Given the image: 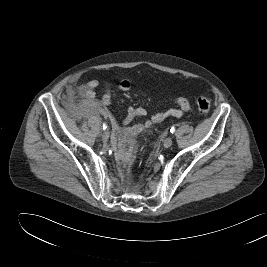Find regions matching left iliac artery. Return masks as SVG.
I'll return each mask as SVG.
<instances>
[{
    "mask_svg": "<svg viewBox=\"0 0 267 267\" xmlns=\"http://www.w3.org/2000/svg\"><path fill=\"white\" fill-rule=\"evenodd\" d=\"M176 131V128L175 127H172L171 129H170V132L173 134L174 132Z\"/></svg>",
    "mask_w": 267,
    "mask_h": 267,
    "instance_id": "obj_1",
    "label": "left iliac artery"
}]
</instances>
